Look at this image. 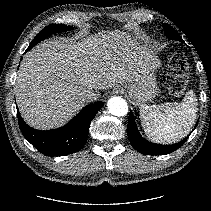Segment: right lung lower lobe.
Here are the masks:
<instances>
[{
	"label": "right lung lower lobe",
	"instance_id": "98d812e1",
	"mask_svg": "<svg viewBox=\"0 0 211 211\" xmlns=\"http://www.w3.org/2000/svg\"><path fill=\"white\" fill-rule=\"evenodd\" d=\"M102 106V102H97L84 107L64 127L55 130L42 131L29 127L23 121L19 110H17L18 122L23 136L44 155H68L83 148L90 123Z\"/></svg>",
	"mask_w": 211,
	"mask_h": 211
}]
</instances>
